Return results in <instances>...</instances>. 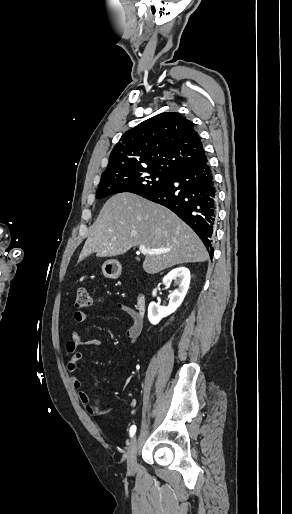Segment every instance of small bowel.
I'll return each instance as SVG.
<instances>
[{"label":"small bowel","instance_id":"small-bowel-1","mask_svg":"<svg viewBox=\"0 0 292 514\" xmlns=\"http://www.w3.org/2000/svg\"><path fill=\"white\" fill-rule=\"evenodd\" d=\"M111 303L112 302L109 299L100 296V297L94 298L91 301V306L98 307V306L108 305ZM116 306L119 310L126 313L132 319L133 323L131 326H129L127 328L126 336L130 339V341L133 344H135L137 342V340L139 339L141 332H142V327H143L142 318L139 320L138 313L133 308H131L129 305H127L125 303L118 302V303H116ZM73 318H74L75 322L81 323V322L86 321V319L88 318V313L83 310H78L74 313ZM85 346L101 348L102 342L97 339H94L91 341H85L81 337L79 331L77 329H73L70 333V338L67 341L66 346H65L66 354L70 356V359L68 360V362L66 364V370L69 374V380L71 382L72 387L74 389L78 390L79 400L83 404H86L84 406V409L87 412H90L93 409V406L90 403H88L89 396L85 391L80 390L81 381L73 375V373L77 369L78 362L83 358V354L79 351V349L81 347H85ZM125 396L128 397L129 404L131 406H134L136 404L135 397L133 395H131L130 392H126ZM111 409L115 410L116 406L112 405ZM101 412L106 413L107 409L102 408ZM90 415H93V412H90Z\"/></svg>","mask_w":292,"mask_h":514}]
</instances>
